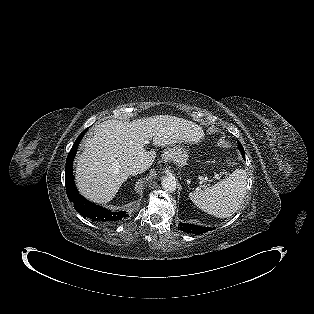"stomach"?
<instances>
[{
	"mask_svg": "<svg viewBox=\"0 0 314 314\" xmlns=\"http://www.w3.org/2000/svg\"><path fill=\"white\" fill-rule=\"evenodd\" d=\"M165 160L173 161L179 166H184L188 159V150L180 143L171 144L164 152Z\"/></svg>",
	"mask_w": 314,
	"mask_h": 314,
	"instance_id": "0dacf381",
	"label": "stomach"
}]
</instances>
